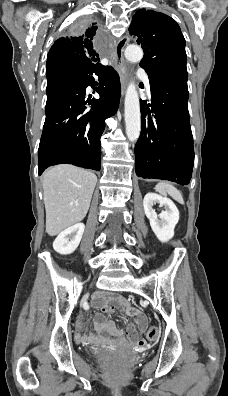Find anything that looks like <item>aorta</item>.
<instances>
[{
	"label": "aorta",
	"mask_w": 228,
	"mask_h": 396,
	"mask_svg": "<svg viewBox=\"0 0 228 396\" xmlns=\"http://www.w3.org/2000/svg\"><path fill=\"white\" fill-rule=\"evenodd\" d=\"M124 54L130 62H139L143 58V50L135 45L126 47ZM124 109L126 135L131 142H134L138 139L141 131L140 101L134 82H130L127 87Z\"/></svg>",
	"instance_id": "1"
}]
</instances>
